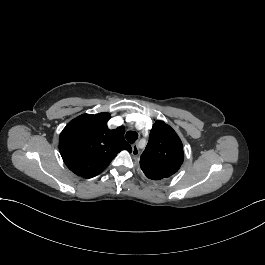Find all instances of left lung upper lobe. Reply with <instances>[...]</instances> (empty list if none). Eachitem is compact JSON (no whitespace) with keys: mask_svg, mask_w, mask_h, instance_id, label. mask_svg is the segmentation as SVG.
<instances>
[{"mask_svg":"<svg viewBox=\"0 0 265 265\" xmlns=\"http://www.w3.org/2000/svg\"><path fill=\"white\" fill-rule=\"evenodd\" d=\"M183 160V145L176 132L165 122L156 121L140 157L145 176L151 180L170 177L179 170Z\"/></svg>","mask_w":265,"mask_h":265,"instance_id":"left-lung-upper-lobe-1","label":"left lung upper lobe"}]
</instances>
